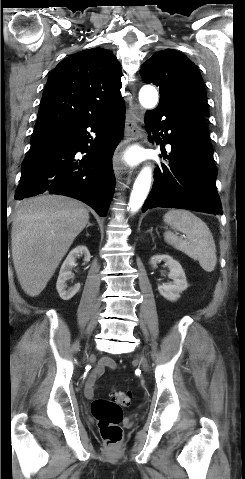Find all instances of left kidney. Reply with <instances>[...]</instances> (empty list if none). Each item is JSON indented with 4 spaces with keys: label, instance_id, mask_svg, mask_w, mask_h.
I'll return each mask as SVG.
<instances>
[{
    "label": "left kidney",
    "instance_id": "obj_1",
    "mask_svg": "<svg viewBox=\"0 0 245 479\" xmlns=\"http://www.w3.org/2000/svg\"><path fill=\"white\" fill-rule=\"evenodd\" d=\"M161 261L169 268L170 273L168 276L173 281L158 285V291L167 300L176 301L180 298V294L188 287L185 272L180 263L167 254L153 256L150 259V264L153 268H156V264Z\"/></svg>",
    "mask_w": 245,
    "mask_h": 479
}]
</instances>
